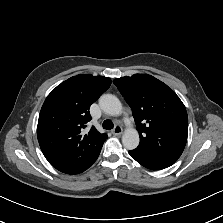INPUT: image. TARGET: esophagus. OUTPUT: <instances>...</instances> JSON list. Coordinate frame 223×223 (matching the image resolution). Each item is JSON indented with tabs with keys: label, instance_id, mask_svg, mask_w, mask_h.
Returning <instances> with one entry per match:
<instances>
[{
	"label": "esophagus",
	"instance_id": "esophagus-1",
	"mask_svg": "<svg viewBox=\"0 0 223 223\" xmlns=\"http://www.w3.org/2000/svg\"><path fill=\"white\" fill-rule=\"evenodd\" d=\"M122 132H123V129L119 124H116L112 130L113 135H120L122 134Z\"/></svg>",
	"mask_w": 223,
	"mask_h": 223
}]
</instances>
